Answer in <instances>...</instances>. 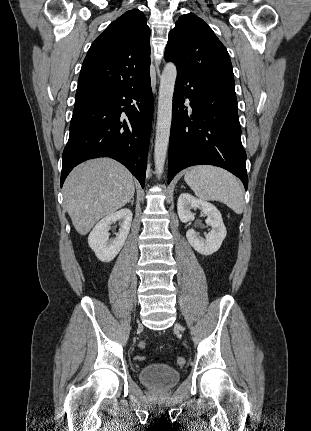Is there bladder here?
<instances>
[{"instance_id":"1","label":"bladder","mask_w":311,"mask_h":431,"mask_svg":"<svg viewBox=\"0 0 311 431\" xmlns=\"http://www.w3.org/2000/svg\"><path fill=\"white\" fill-rule=\"evenodd\" d=\"M138 377L142 384L151 389L167 390L180 381L181 374L179 370L167 364L153 363L143 367Z\"/></svg>"}]
</instances>
